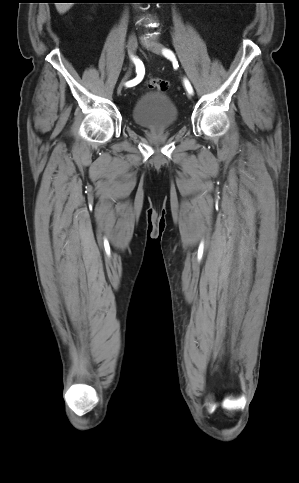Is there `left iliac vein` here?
Returning <instances> with one entry per match:
<instances>
[{
  "instance_id": "1",
  "label": "left iliac vein",
  "mask_w": 299,
  "mask_h": 483,
  "mask_svg": "<svg viewBox=\"0 0 299 483\" xmlns=\"http://www.w3.org/2000/svg\"><path fill=\"white\" fill-rule=\"evenodd\" d=\"M146 48L156 54H162V51L164 49L163 45L160 43H150L145 45Z\"/></svg>"
}]
</instances>
